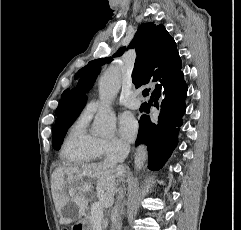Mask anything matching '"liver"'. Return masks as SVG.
Instances as JSON below:
<instances>
[{
	"label": "liver",
	"mask_w": 241,
	"mask_h": 230,
	"mask_svg": "<svg viewBox=\"0 0 241 230\" xmlns=\"http://www.w3.org/2000/svg\"><path fill=\"white\" fill-rule=\"evenodd\" d=\"M125 173L126 169L123 166L113 168L103 163L57 168L52 175L54 181L52 191L60 223L70 224L74 221L70 217H65L66 205L69 201L78 207V219L84 215L88 205L86 193L95 183L99 199L113 203L118 181L124 179Z\"/></svg>",
	"instance_id": "liver-1"
}]
</instances>
